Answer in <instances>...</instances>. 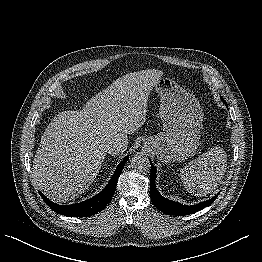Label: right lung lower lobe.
<instances>
[{
	"instance_id": "obj_1",
	"label": "right lung lower lobe",
	"mask_w": 262,
	"mask_h": 262,
	"mask_svg": "<svg viewBox=\"0 0 262 262\" xmlns=\"http://www.w3.org/2000/svg\"><path fill=\"white\" fill-rule=\"evenodd\" d=\"M129 157L126 156L120 164L117 166L116 171L112 175L109 183L106 187L96 196L80 203L71 204V205H57L52 201H49L48 198L42 194L40 195L46 204L56 213L61 215L70 216V217H87L94 215L100 212L111 200L116 189L118 178L122 172V169L125 166V163L128 161Z\"/></svg>"
}]
</instances>
